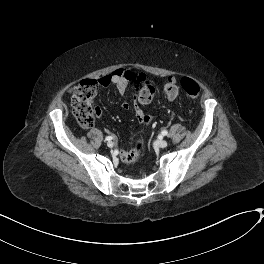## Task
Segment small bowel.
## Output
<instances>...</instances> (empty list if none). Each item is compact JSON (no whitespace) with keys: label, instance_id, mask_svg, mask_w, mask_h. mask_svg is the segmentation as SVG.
I'll return each mask as SVG.
<instances>
[{"label":"small bowel","instance_id":"small-bowel-1","mask_svg":"<svg viewBox=\"0 0 264 264\" xmlns=\"http://www.w3.org/2000/svg\"><path fill=\"white\" fill-rule=\"evenodd\" d=\"M145 80H147V76L141 71L119 69L110 75L100 78L98 84L101 86L113 84L120 94H124L130 84L140 86ZM121 107L125 111L132 109L139 124L146 126L150 123L151 118L146 114L143 106L137 101L132 105L129 102L124 101L122 102ZM97 109L99 113H101V109L99 107H97ZM121 157L127 159L128 153L122 152Z\"/></svg>","mask_w":264,"mask_h":264}]
</instances>
